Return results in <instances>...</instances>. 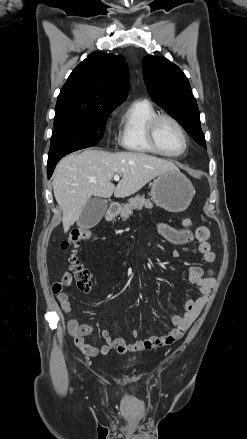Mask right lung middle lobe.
I'll list each match as a JSON object with an SVG mask.
<instances>
[{"instance_id":"dd1d6c3e","label":"right lung middle lobe","mask_w":247,"mask_h":439,"mask_svg":"<svg viewBox=\"0 0 247 439\" xmlns=\"http://www.w3.org/2000/svg\"><path fill=\"white\" fill-rule=\"evenodd\" d=\"M114 109L56 108L47 167L65 155L93 147L104 135L108 115Z\"/></svg>"}]
</instances>
